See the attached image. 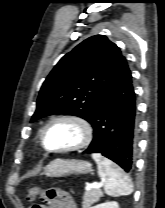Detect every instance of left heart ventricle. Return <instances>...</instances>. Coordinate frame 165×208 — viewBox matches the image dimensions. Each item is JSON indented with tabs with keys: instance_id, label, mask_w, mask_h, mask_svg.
Instances as JSON below:
<instances>
[{
	"instance_id": "left-heart-ventricle-1",
	"label": "left heart ventricle",
	"mask_w": 165,
	"mask_h": 208,
	"mask_svg": "<svg viewBox=\"0 0 165 208\" xmlns=\"http://www.w3.org/2000/svg\"><path fill=\"white\" fill-rule=\"evenodd\" d=\"M81 136V131L76 125L62 121L54 123L48 128L44 142L50 149H59L79 142Z\"/></svg>"
}]
</instances>
